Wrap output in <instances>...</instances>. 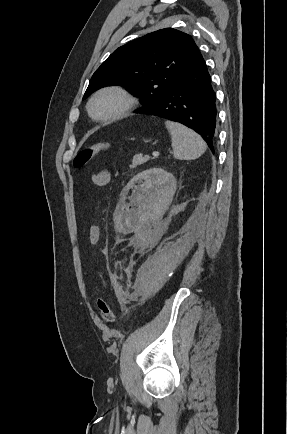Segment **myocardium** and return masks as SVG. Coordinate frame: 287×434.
<instances>
[{"instance_id": "f54148a6", "label": "myocardium", "mask_w": 287, "mask_h": 434, "mask_svg": "<svg viewBox=\"0 0 287 434\" xmlns=\"http://www.w3.org/2000/svg\"><path fill=\"white\" fill-rule=\"evenodd\" d=\"M105 98H115L118 105L105 113L96 114L95 104ZM136 104L134 96L120 86H106L95 91L88 100L87 111L89 116L97 122H112L125 117Z\"/></svg>"}]
</instances>
